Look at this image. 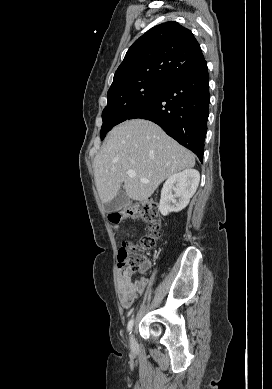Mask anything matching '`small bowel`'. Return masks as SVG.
I'll return each mask as SVG.
<instances>
[{
    "label": "small bowel",
    "mask_w": 272,
    "mask_h": 389,
    "mask_svg": "<svg viewBox=\"0 0 272 389\" xmlns=\"http://www.w3.org/2000/svg\"><path fill=\"white\" fill-rule=\"evenodd\" d=\"M150 267V262H144L141 272L146 271ZM145 283L140 281H132L129 277L121 278L118 282V293L121 304L124 308H129L134 300L144 292Z\"/></svg>",
    "instance_id": "c3829d8e"
}]
</instances>
